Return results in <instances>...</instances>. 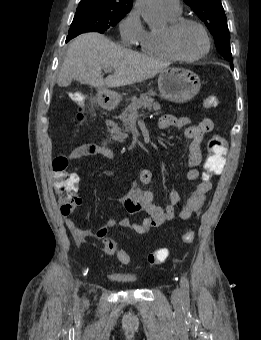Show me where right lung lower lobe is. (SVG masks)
I'll return each instance as SVG.
<instances>
[{"label":"right lung lower lobe","instance_id":"obj_1","mask_svg":"<svg viewBox=\"0 0 261 340\" xmlns=\"http://www.w3.org/2000/svg\"><path fill=\"white\" fill-rule=\"evenodd\" d=\"M81 33H72V34H69L66 38V42H68L69 40H71L72 38L76 37L77 35H79Z\"/></svg>","mask_w":261,"mask_h":340}]
</instances>
